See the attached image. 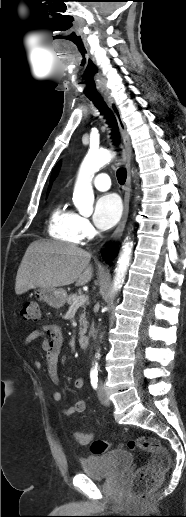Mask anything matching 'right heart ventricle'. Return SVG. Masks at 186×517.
<instances>
[{"label":"right heart ventricle","mask_w":186,"mask_h":517,"mask_svg":"<svg viewBox=\"0 0 186 517\" xmlns=\"http://www.w3.org/2000/svg\"><path fill=\"white\" fill-rule=\"evenodd\" d=\"M48 232L52 238L69 244H78L81 241L76 229V214L62 203H58L50 213Z\"/></svg>","instance_id":"e07e8e85"}]
</instances>
